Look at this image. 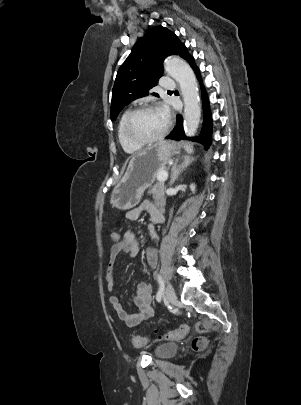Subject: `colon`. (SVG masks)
I'll list each match as a JSON object with an SVG mask.
<instances>
[{"label": "colon", "mask_w": 301, "mask_h": 405, "mask_svg": "<svg viewBox=\"0 0 301 405\" xmlns=\"http://www.w3.org/2000/svg\"><path fill=\"white\" fill-rule=\"evenodd\" d=\"M119 233L118 232H112L110 234V239L112 243L117 244L119 242ZM189 330V327L187 324H183L177 329L166 331L163 333L159 334V337L164 340H173V339H179L184 337ZM149 341V337H141V336H133L132 337V343L135 347H141L147 344ZM207 341L203 337H195L192 339L191 346L194 350H202L206 347Z\"/></svg>", "instance_id": "obj_1"}]
</instances>
